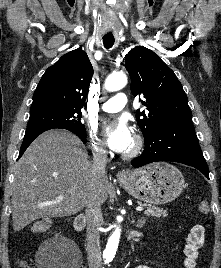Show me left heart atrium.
<instances>
[{
    "mask_svg": "<svg viewBox=\"0 0 221 268\" xmlns=\"http://www.w3.org/2000/svg\"><path fill=\"white\" fill-rule=\"evenodd\" d=\"M104 133L108 146L119 153L126 152L133 142L132 131L125 119L106 124Z\"/></svg>",
    "mask_w": 221,
    "mask_h": 268,
    "instance_id": "39dd6f15",
    "label": "left heart atrium"
}]
</instances>
